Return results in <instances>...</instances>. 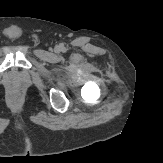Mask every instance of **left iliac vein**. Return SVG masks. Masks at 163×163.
<instances>
[{
	"instance_id": "1",
	"label": "left iliac vein",
	"mask_w": 163,
	"mask_h": 163,
	"mask_svg": "<svg viewBox=\"0 0 163 163\" xmlns=\"http://www.w3.org/2000/svg\"><path fill=\"white\" fill-rule=\"evenodd\" d=\"M55 51H56V52H59V51H60V48H59V47H56V48H55Z\"/></svg>"
}]
</instances>
